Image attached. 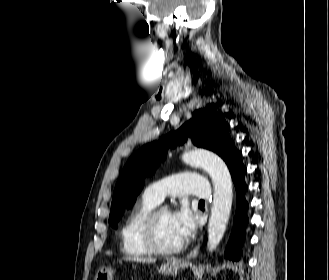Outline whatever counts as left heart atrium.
Returning a JSON list of instances; mask_svg holds the SVG:
<instances>
[{
    "mask_svg": "<svg viewBox=\"0 0 329 280\" xmlns=\"http://www.w3.org/2000/svg\"><path fill=\"white\" fill-rule=\"evenodd\" d=\"M171 220L181 241L189 239L197 226L196 216L185 205L171 213Z\"/></svg>",
    "mask_w": 329,
    "mask_h": 280,
    "instance_id": "left-heart-atrium-1",
    "label": "left heart atrium"
}]
</instances>
